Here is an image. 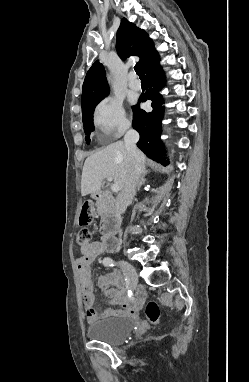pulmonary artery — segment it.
<instances>
[{
    "mask_svg": "<svg viewBox=\"0 0 249 382\" xmlns=\"http://www.w3.org/2000/svg\"><path fill=\"white\" fill-rule=\"evenodd\" d=\"M128 85L133 90H139L141 88V81L137 78L134 72L129 74Z\"/></svg>",
    "mask_w": 249,
    "mask_h": 382,
    "instance_id": "obj_1",
    "label": "pulmonary artery"
}]
</instances>
